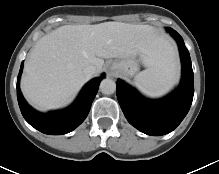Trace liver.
I'll list each match as a JSON object with an SVG mask.
<instances>
[{"label":"liver","instance_id":"6515ba94","mask_svg":"<svg viewBox=\"0 0 219 174\" xmlns=\"http://www.w3.org/2000/svg\"><path fill=\"white\" fill-rule=\"evenodd\" d=\"M168 52V40L157 36L148 25L104 22L96 25H65L38 40L25 62L21 90L37 109L48 110L66 104L88 78V65L102 70L104 59L140 55L151 67Z\"/></svg>","mask_w":219,"mask_h":174}]
</instances>
